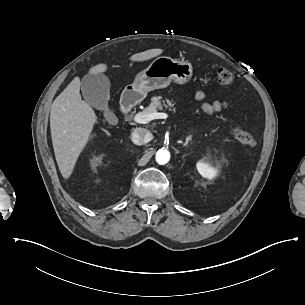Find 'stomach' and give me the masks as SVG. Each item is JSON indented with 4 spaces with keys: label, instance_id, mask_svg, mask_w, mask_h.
<instances>
[{
    "label": "stomach",
    "instance_id": "obj_1",
    "mask_svg": "<svg viewBox=\"0 0 305 305\" xmlns=\"http://www.w3.org/2000/svg\"><path fill=\"white\" fill-rule=\"evenodd\" d=\"M192 74L193 68L188 61L167 56L157 57L146 69L136 75L132 84L125 88V91L129 92L127 99L139 103L148 92L166 88L171 81L184 84L191 79Z\"/></svg>",
    "mask_w": 305,
    "mask_h": 305
}]
</instances>
